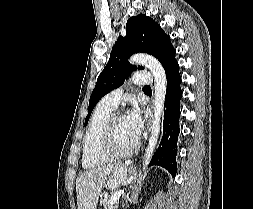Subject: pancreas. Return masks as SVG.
<instances>
[{
	"label": "pancreas",
	"mask_w": 253,
	"mask_h": 209,
	"mask_svg": "<svg viewBox=\"0 0 253 209\" xmlns=\"http://www.w3.org/2000/svg\"><path fill=\"white\" fill-rule=\"evenodd\" d=\"M103 209H116L118 206V202L116 201L115 203L111 204V197H104L103 202Z\"/></svg>",
	"instance_id": "cf45deb5"
}]
</instances>
